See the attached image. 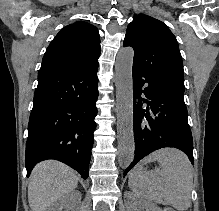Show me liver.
<instances>
[{
	"instance_id": "obj_1",
	"label": "liver",
	"mask_w": 219,
	"mask_h": 211,
	"mask_svg": "<svg viewBox=\"0 0 219 211\" xmlns=\"http://www.w3.org/2000/svg\"><path fill=\"white\" fill-rule=\"evenodd\" d=\"M78 173L56 159L40 161L33 167L28 183V201L32 211H47L59 197L75 191Z\"/></svg>"
}]
</instances>
